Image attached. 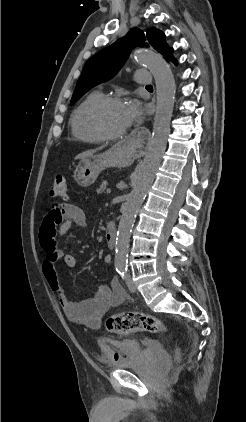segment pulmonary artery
<instances>
[{
    "label": "pulmonary artery",
    "instance_id": "obj_1",
    "mask_svg": "<svg viewBox=\"0 0 246 422\" xmlns=\"http://www.w3.org/2000/svg\"><path fill=\"white\" fill-rule=\"evenodd\" d=\"M135 79L138 83L148 85L152 81V77L149 71L144 69H139L135 73Z\"/></svg>",
    "mask_w": 246,
    "mask_h": 422
}]
</instances>
